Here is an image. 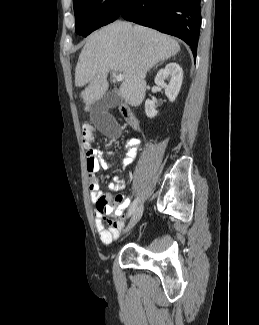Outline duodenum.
<instances>
[{
  "instance_id": "410a0bca",
  "label": "duodenum",
  "mask_w": 259,
  "mask_h": 325,
  "mask_svg": "<svg viewBox=\"0 0 259 325\" xmlns=\"http://www.w3.org/2000/svg\"><path fill=\"white\" fill-rule=\"evenodd\" d=\"M119 109H120L122 116L127 121V123L134 129H137L139 122H138L136 116L134 115V113L130 110V108L127 105L122 104L119 107Z\"/></svg>"
}]
</instances>
